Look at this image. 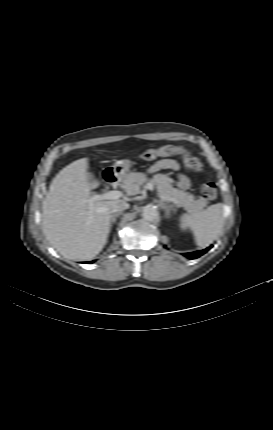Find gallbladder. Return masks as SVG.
Returning <instances> with one entry per match:
<instances>
[{
  "instance_id": "bac80fb5",
  "label": "gallbladder",
  "mask_w": 273,
  "mask_h": 430,
  "mask_svg": "<svg viewBox=\"0 0 273 430\" xmlns=\"http://www.w3.org/2000/svg\"><path fill=\"white\" fill-rule=\"evenodd\" d=\"M88 181L92 183L94 181V176L91 174H88Z\"/></svg>"
}]
</instances>
